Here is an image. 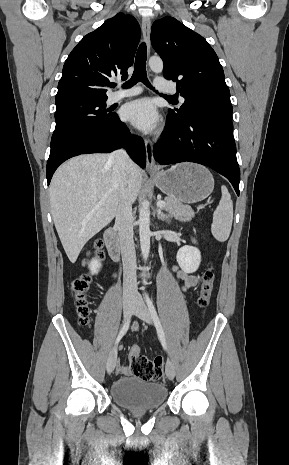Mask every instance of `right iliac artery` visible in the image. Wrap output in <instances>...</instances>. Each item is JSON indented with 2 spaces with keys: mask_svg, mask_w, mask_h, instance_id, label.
<instances>
[{
  "mask_svg": "<svg viewBox=\"0 0 289 465\" xmlns=\"http://www.w3.org/2000/svg\"><path fill=\"white\" fill-rule=\"evenodd\" d=\"M130 318L131 316H129V318L125 321V323L123 324L117 338H116V341H115V344L117 345L120 340L122 339V337L125 335V333L127 332L128 328H129V325H130Z\"/></svg>",
  "mask_w": 289,
  "mask_h": 465,
  "instance_id": "right-iliac-artery-1",
  "label": "right iliac artery"
}]
</instances>
